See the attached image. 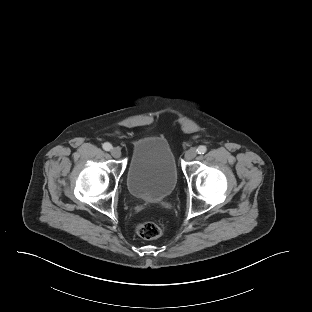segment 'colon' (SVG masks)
<instances>
[{
    "label": "colon",
    "mask_w": 312,
    "mask_h": 312,
    "mask_svg": "<svg viewBox=\"0 0 312 312\" xmlns=\"http://www.w3.org/2000/svg\"><path fill=\"white\" fill-rule=\"evenodd\" d=\"M165 230V225L161 222H145L136 226V233L143 239H155L160 237Z\"/></svg>",
    "instance_id": "obj_1"
}]
</instances>
